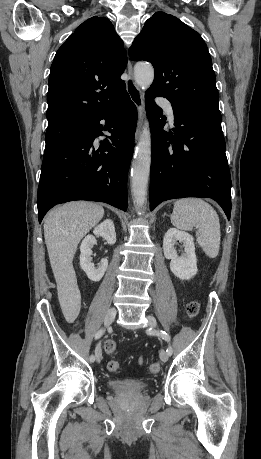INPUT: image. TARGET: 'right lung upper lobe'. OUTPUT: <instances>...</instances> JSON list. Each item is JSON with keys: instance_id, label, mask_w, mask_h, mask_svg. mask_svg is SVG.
<instances>
[{"instance_id": "right-lung-upper-lobe-1", "label": "right lung upper lobe", "mask_w": 261, "mask_h": 459, "mask_svg": "<svg viewBox=\"0 0 261 459\" xmlns=\"http://www.w3.org/2000/svg\"><path fill=\"white\" fill-rule=\"evenodd\" d=\"M127 64L123 41L111 22L94 16L57 51L47 95L48 126L88 122L126 93L120 79Z\"/></svg>"}]
</instances>
